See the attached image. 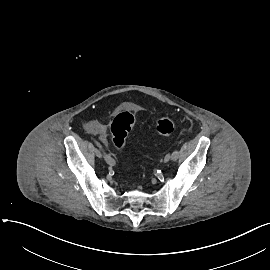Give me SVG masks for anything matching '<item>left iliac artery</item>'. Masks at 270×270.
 I'll use <instances>...</instances> for the list:
<instances>
[{"label": "left iliac artery", "instance_id": "left-iliac-artery-1", "mask_svg": "<svg viewBox=\"0 0 270 270\" xmlns=\"http://www.w3.org/2000/svg\"><path fill=\"white\" fill-rule=\"evenodd\" d=\"M178 157H179V151L176 149V150L172 153L171 159L175 161V160L178 159Z\"/></svg>", "mask_w": 270, "mask_h": 270}]
</instances>
